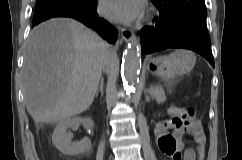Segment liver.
<instances>
[{
  "instance_id": "1",
  "label": "liver",
  "mask_w": 242,
  "mask_h": 160,
  "mask_svg": "<svg viewBox=\"0 0 242 160\" xmlns=\"http://www.w3.org/2000/svg\"><path fill=\"white\" fill-rule=\"evenodd\" d=\"M110 52L76 20L52 19L35 27L22 72L24 101L34 122L57 123L86 111L98 89L100 68L111 63Z\"/></svg>"
}]
</instances>
